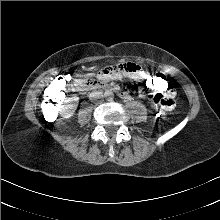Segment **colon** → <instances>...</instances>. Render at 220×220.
I'll list each match as a JSON object with an SVG mask.
<instances>
[{"instance_id":"colon-1","label":"colon","mask_w":220,"mask_h":220,"mask_svg":"<svg viewBox=\"0 0 220 220\" xmlns=\"http://www.w3.org/2000/svg\"><path fill=\"white\" fill-rule=\"evenodd\" d=\"M109 68V67H108ZM68 76L59 77L51 84L49 94L45 98L43 109L45 112L54 111L60 101L63 83L67 81ZM91 84V83H89ZM145 87L151 90L153 102L158 106L156 117L160 121H167L171 117V109L174 107V99L172 96L162 95L168 90L169 82L166 76L160 72H151L145 76Z\"/></svg>"}]
</instances>
